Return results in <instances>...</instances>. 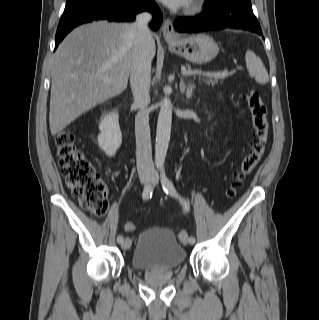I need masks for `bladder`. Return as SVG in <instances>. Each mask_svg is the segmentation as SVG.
<instances>
[{"instance_id": "bladder-1", "label": "bladder", "mask_w": 319, "mask_h": 320, "mask_svg": "<svg viewBox=\"0 0 319 320\" xmlns=\"http://www.w3.org/2000/svg\"><path fill=\"white\" fill-rule=\"evenodd\" d=\"M187 258L185 248L169 229L156 227L142 231L130 256L135 270L175 269Z\"/></svg>"}]
</instances>
